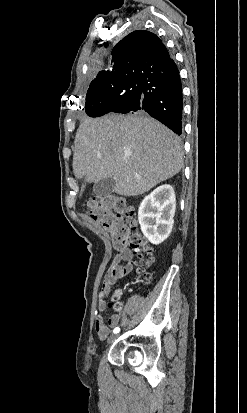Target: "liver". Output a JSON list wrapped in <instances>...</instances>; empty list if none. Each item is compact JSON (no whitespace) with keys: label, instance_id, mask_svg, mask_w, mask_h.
<instances>
[{"label":"liver","instance_id":"1","mask_svg":"<svg viewBox=\"0 0 247 413\" xmlns=\"http://www.w3.org/2000/svg\"><path fill=\"white\" fill-rule=\"evenodd\" d=\"M182 156L181 138L155 118L113 112L80 122L73 170L85 182L112 176L117 194L136 196L177 174Z\"/></svg>","mask_w":247,"mask_h":413}]
</instances>
